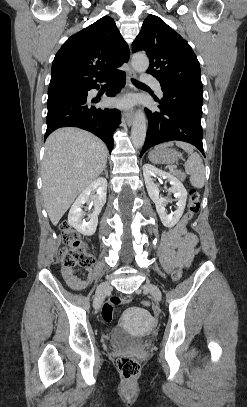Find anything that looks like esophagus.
Instances as JSON below:
<instances>
[{"instance_id": "obj_1", "label": "esophagus", "mask_w": 247, "mask_h": 407, "mask_svg": "<svg viewBox=\"0 0 247 407\" xmlns=\"http://www.w3.org/2000/svg\"><path fill=\"white\" fill-rule=\"evenodd\" d=\"M132 78H136V72L130 68L129 72H128V76H127V90H133L134 89V85L131 82ZM133 117H134V109H128L127 111H125L122 115V120L123 122H125L128 126H130L133 122Z\"/></svg>"}]
</instances>
